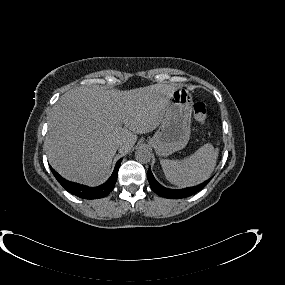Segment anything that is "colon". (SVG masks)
Returning a JSON list of instances; mask_svg holds the SVG:
<instances>
[{
  "mask_svg": "<svg viewBox=\"0 0 285 285\" xmlns=\"http://www.w3.org/2000/svg\"><path fill=\"white\" fill-rule=\"evenodd\" d=\"M193 117L200 124L204 125L207 119V109L204 103L198 102L193 108Z\"/></svg>",
  "mask_w": 285,
  "mask_h": 285,
  "instance_id": "obj_1",
  "label": "colon"
}]
</instances>
